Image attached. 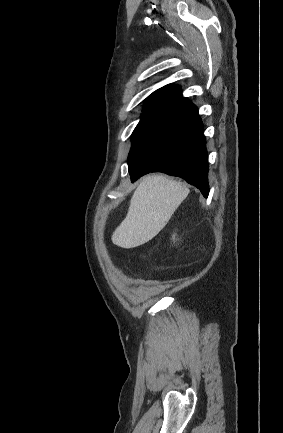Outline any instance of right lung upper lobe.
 Listing matches in <instances>:
<instances>
[{
	"mask_svg": "<svg viewBox=\"0 0 283 433\" xmlns=\"http://www.w3.org/2000/svg\"><path fill=\"white\" fill-rule=\"evenodd\" d=\"M185 101L187 99L182 97L180 87L169 84L148 97L143 112H153L161 115Z\"/></svg>",
	"mask_w": 283,
	"mask_h": 433,
	"instance_id": "cb5924a9",
	"label": "right lung upper lobe"
}]
</instances>
